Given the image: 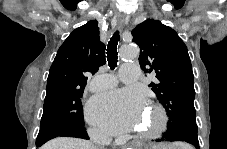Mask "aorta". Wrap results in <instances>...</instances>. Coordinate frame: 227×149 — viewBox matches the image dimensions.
<instances>
[{"label":"aorta","instance_id":"obj_1","mask_svg":"<svg viewBox=\"0 0 227 149\" xmlns=\"http://www.w3.org/2000/svg\"><path fill=\"white\" fill-rule=\"evenodd\" d=\"M138 56V49L133 46L126 45L121 50V58L129 60Z\"/></svg>","mask_w":227,"mask_h":149}]
</instances>
